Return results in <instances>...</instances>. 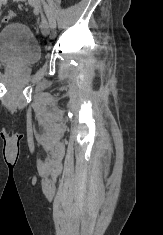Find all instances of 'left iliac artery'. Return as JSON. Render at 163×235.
<instances>
[{"mask_svg":"<svg viewBox=\"0 0 163 235\" xmlns=\"http://www.w3.org/2000/svg\"><path fill=\"white\" fill-rule=\"evenodd\" d=\"M44 9H45L47 18L49 20L50 26L52 28H55L56 27V21H55V18L53 16V13H52L51 9L49 8V6L47 4H44Z\"/></svg>","mask_w":163,"mask_h":235,"instance_id":"1","label":"left iliac artery"}]
</instances>
